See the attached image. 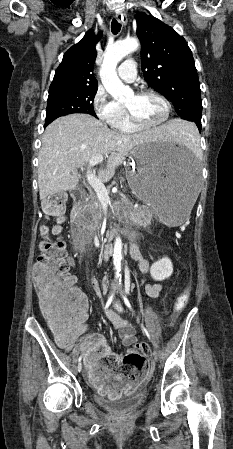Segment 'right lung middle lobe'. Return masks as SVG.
<instances>
[{
	"label": "right lung middle lobe",
	"instance_id": "dd1d6c3e",
	"mask_svg": "<svg viewBox=\"0 0 233 449\" xmlns=\"http://www.w3.org/2000/svg\"><path fill=\"white\" fill-rule=\"evenodd\" d=\"M97 89L59 91L48 96L45 126L60 116L87 113L96 117L93 100Z\"/></svg>",
	"mask_w": 233,
	"mask_h": 449
}]
</instances>
